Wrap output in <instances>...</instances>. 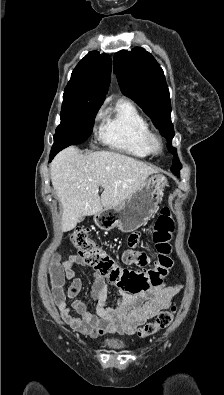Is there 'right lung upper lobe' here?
I'll use <instances>...</instances> for the list:
<instances>
[{
    "instance_id": "1",
    "label": "right lung upper lobe",
    "mask_w": 224,
    "mask_h": 395,
    "mask_svg": "<svg viewBox=\"0 0 224 395\" xmlns=\"http://www.w3.org/2000/svg\"><path fill=\"white\" fill-rule=\"evenodd\" d=\"M111 63V58L107 54L90 52L73 70L65 91L103 101L110 83Z\"/></svg>"
}]
</instances>
